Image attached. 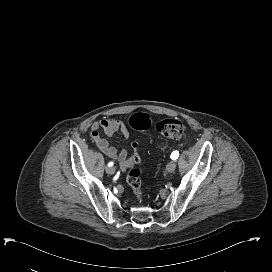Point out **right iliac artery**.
Returning <instances> with one entry per match:
<instances>
[{"instance_id":"82829eb1","label":"right iliac artery","mask_w":272,"mask_h":272,"mask_svg":"<svg viewBox=\"0 0 272 272\" xmlns=\"http://www.w3.org/2000/svg\"><path fill=\"white\" fill-rule=\"evenodd\" d=\"M113 164H114L113 162H109L108 166H113Z\"/></svg>"}]
</instances>
